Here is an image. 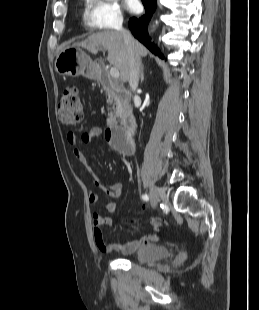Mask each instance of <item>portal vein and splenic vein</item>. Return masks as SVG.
I'll return each mask as SVG.
<instances>
[{
    "label": "portal vein and splenic vein",
    "mask_w": 259,
    "mask_h": 310,
    "mask_svg": "<svg viewBox=\"0 0 259 310\" xmlns=\"http://www.w3.org/2000/svg\"><path fill=\"white\" fill-rule=\"evenodd\" d=\"M110 75L113 77V78H119V70L116 68V67H112L110 69Z\"/></svg>",
    "instance_id": "1"
}]
</instances>
